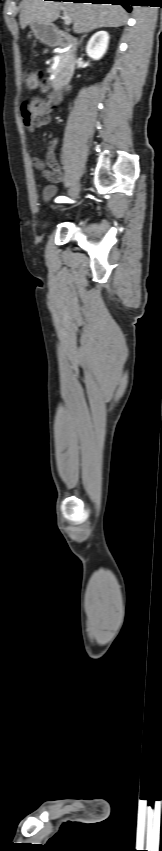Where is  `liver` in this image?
I'll return each mask as SVG.
<instances>
[{
	"mask_svg": "<svg viewBox=\"0 0 162 851\" xmlns=\"http://www.w3.org/2000/svg\"><path fill=\"white\" fill-rule=\"evenodd\" d=\"M65 8L73 20L75 33H84L102 27H120L127 22V12L119 5L45 0H23L20 25L24 29L32 22L52 24Z\"/></svg>",
	"mask_w": 162,
	"mask_h": 851,
	"instance_id": "liver-1",
	"label": "liver"
}]
</instances>
